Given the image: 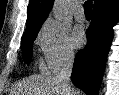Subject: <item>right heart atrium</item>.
<instances>
[{
    "instance_id": "right-heart-atrium-1",
    "label": "right heart atrium",
    "mask_w": 119,
    "mask_h": 95,
    "mask_svg": "<svg viewBox=\"0 0 119 95\" xmlns=\"http://www.w3.org/2000/svg\"><path fill=\"white\" fill-rule=\"evenodd\" d=\"M36 41L42 50L46 66L52 71H57L74 59L75 52L69 30L54 19L44 22L37 34Z\"/></svg>"
}]
</instances>
